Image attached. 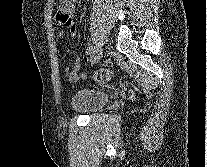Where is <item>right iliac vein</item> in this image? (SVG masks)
<instances>
[{"label": "right iliac vein", "mask_w": 207, "mask_h": 167, "mask_svg": "<svg viewBox=\"0 0 207 167\" xmlns=\"http://www.w3.org/2000/svg\"><path fill=\"white\" fill-rule=\"evenodd\" d=\"M102 54H103L102 47L100 45H96L91 59L92 64L98 63L102 58Z\"/></svg>", "instance_id": "right-iliac-vein-1"}]
</instances>
